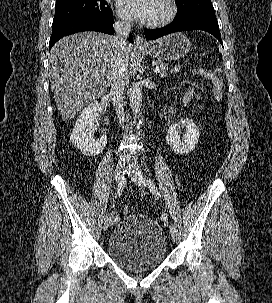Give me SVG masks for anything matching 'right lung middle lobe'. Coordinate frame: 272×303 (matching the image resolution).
<instances>
[{"mask_svg":"<svg viewBox=\"0 0 272 303\" xmlns=\"http://www.w3.org/2000/svg\"><path fill=\"white\" fill-rule=\"evenodd\" d=\"M84 15L108 17L113 14L105 0H59L56 1L53 24Z\"/></svg>","mask_w":272,"mask_h":303,"instance_id":"obj_1","label":"right lung middle lobe"}]
</instances>
